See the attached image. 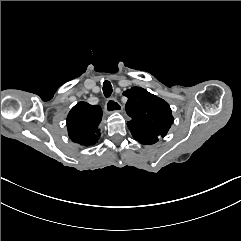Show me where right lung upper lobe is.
Segmentation results:
<instances>
[{
    "label": "right lung upper lobe",
    "instance_id": "right-lung-upper-lobe-1",
    "mask_svg": "<svg viewBox=\"0 0 241 241\" xmlns=\"http://www.w3.org/2000/svg\"><path fill=\"white\" fill-rule=\"evenodd\" d=\"M101 119L102 109L100 106L79 102L67 116L70 139L85 147L94 145L100 136L98 126Z\"/></svg>",
    "mask_w": 241,
    "mask_h": 241
}]
</instances>
